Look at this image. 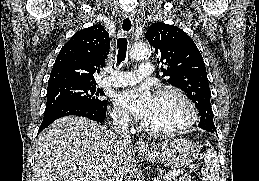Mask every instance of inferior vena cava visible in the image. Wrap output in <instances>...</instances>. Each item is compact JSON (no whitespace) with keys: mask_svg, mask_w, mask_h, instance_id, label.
<instances>
[{"mask_svg":"<svg viewBox=\"0 0 259 181\" xmlns=\"http://www.w3.org/2000/svg\"><path fill=\"white\" fill-rule=\"evenodd\" d=\"M113 133L115 140L122 146V149L130 144L131 135L129 131V117L127 115H119L114 118ZM119 150L121 148H118ZM123 176L121 164L115 159L107 170L106 181H123Z\"/></svg>","mask_w":259,"mask_h":181,"instance_id":"602c4592","label":"inferior vena cava"}]
</instances>
